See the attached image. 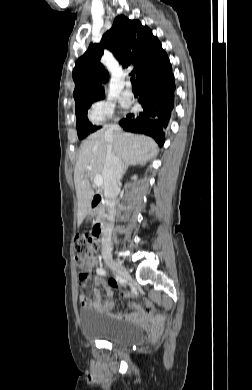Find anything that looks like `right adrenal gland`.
<instances>
[{"mask_svg":"<svg viewBox=\"0 0 252 390\" xmlns=\"http://www.w3.org/2000/svg\"><path fill=\"white\" fill-rule=\"evenodd\" d=\"M138 163L134 162V163H126L125 166H124V169H123V175L125 174L126 170L128 169L129 166H134Z\"/></svg>","mask_w":252,"mask_h":390,"instance_id":"obj_1","label":"right adrenal gland"}]
</instances>
